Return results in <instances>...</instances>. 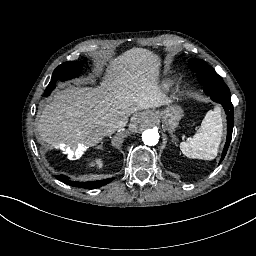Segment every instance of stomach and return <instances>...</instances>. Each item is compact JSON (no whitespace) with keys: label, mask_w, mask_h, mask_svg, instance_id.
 I'll return each instance as SVG.
<instances>
[{"label":"stomach","mask_w":256,"mask_h":256,"mask_svg":"<svg viewBox=\"0 0 256 256\" xmlns=\"http://www.w3.org/2000/svg\"><path fill=\"white\" fill-rule=\"evenodd\" d=\"M149 114L153 117V119L148 117L151 124L156 122L158 124H161L165 130L173 131L175 128L178 127L182 115V110L178 106L173 107L168 104V106L163 111L158 113H147L146 115L148 116Z\"/></svg>","instance_id":"0dacf381"}]
</instances>
